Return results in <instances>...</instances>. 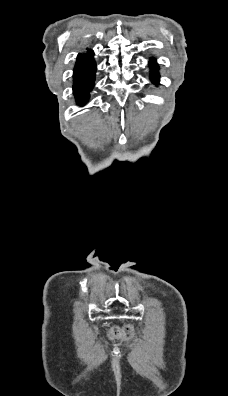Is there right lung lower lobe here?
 Instances as JSON below:
<instances>
[{"label":"right lung lower lobe","instance_id":"right-lung-lower-lobe-1","mask_svg":"<svg viewBox=\"0 0 228 396\" xmlns=\"http://www.w3.org/2000/svg\"><path fill=\"white\" fill-rule=\"evenodd\" d=\"M95 69L96 65L91 50H88L87 54L78 56L74 68L73 91L77 102L81 105L88 100L89 92L94 86Z\"/></svg>","mask_w":228,"mask_h":396}]
</instances>
